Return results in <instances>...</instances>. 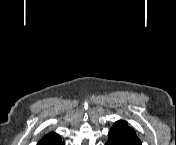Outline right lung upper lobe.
<instances>
[{
  "label": "right lung upper lobe",
  "instance_id": "cb5924a9",
  "mask_svg": "<svg viewBox=\"0 0 176 145\" xmlns=\"http://www.w3.org/2000/svg\"><path fill=\"white\" fill-rule=\"evenodd\" d=\"M61 138L56 133H49L45 135L38 143V145H60Z\"/></svg>",
  "mask_w": 176,
  "mask_h": 145
}]
</instances>
